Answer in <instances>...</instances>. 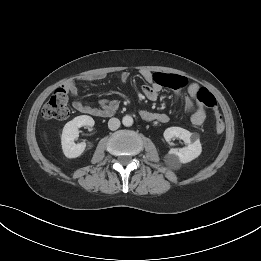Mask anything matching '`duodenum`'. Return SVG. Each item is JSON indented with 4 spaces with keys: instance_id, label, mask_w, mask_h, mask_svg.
<instances>
[{
    "instance_id": "1",
    "label": "duodenum",
    "mask_w": 261,
    "mask_h": 261,
    "mask_svg": "<svg viewBox=\"0 0 261 261\" xmlns=\"http://www.w3.org/2000/svg\"><path fill=\"white\" fill-rule=\"evenodd\" d=\"M98 115L101 116V115H104V114L103 113H99Z\"/></svg>"
}]
</instances>
